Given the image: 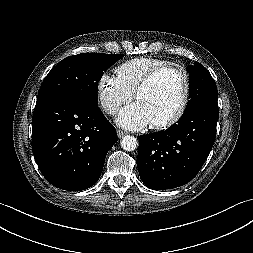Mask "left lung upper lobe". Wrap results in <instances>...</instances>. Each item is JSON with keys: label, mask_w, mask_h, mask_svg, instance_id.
Wrapping results in <instances>:
<instances>
[{"label": "left lung upper lobe", "mask_w": 253, "mask_h": 253, "mask_svg": "<svg viewBox=\"0 0 253 253\" xmlns=\"http://www.w3.org/2000/svg\"><path fill=\"white\" fill-rule=\"evenodd\" d=\"M189 73V98L184 114L200 105L218 106L217 87L208 70L198 62L187 66Z\"/></svg>", "instance_id": "left-lung-upper-lobe-1"}]
</instances>
